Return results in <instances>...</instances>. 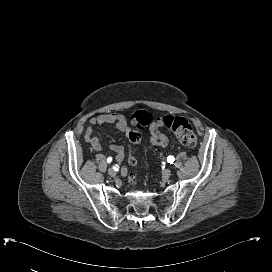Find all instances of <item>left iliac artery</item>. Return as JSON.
<instances>
[{"instance_id":"44dca946","label":"left iliac artery","mask_w":272,"mask_h":272,"mask_svg":"<svg viewBox=\"0 0 272 272\" xmlns=\"http://www.w3.org/2000/svg\"><path fill=\"white\" fill-rule=\"evenodd\" d=\"M167 161L168 163L172 164L175 161L174 156H168Z\"/></svg>"}]
</instances>
